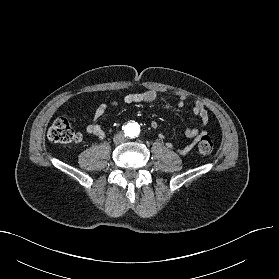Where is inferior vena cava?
I'll return each mask as SVG.
<instances>
[{
  "label": "inferior vena cava",
  "instance_id": "obj_1",
  "mask_svg": "<svg viewBox=\"0 0 279 279\" xmlns=\"http://www.w3.org/2000/svg\"><path fill=\"white\" fill-rule=\"evenodd\" d=\"M124 140H125V137H124V135L123 134H117V135H115L114 136V142L116 143V144H119V143H122V142H124Z\"/></svg>",
  "mask_w": 279,
  "mask_h": 279
}]
</instances>
